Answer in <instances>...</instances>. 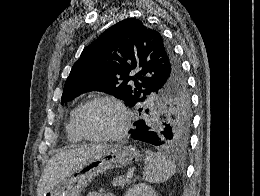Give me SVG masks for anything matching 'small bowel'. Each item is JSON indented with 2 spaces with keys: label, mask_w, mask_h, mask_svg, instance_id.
Here are the masks:
<instances>
[{
  "label": "small bowel",
  "mask_w": 260,
  "mask_h": 196,
  "mask_svg": "<svg viewBox=\"0 0 260 196\" xmlns=\"http://www.w3.org/2000/svg\"><path fill=\"white\" fill-rule=\"evenodd\" d=\"M88 196H111V194L93 191L88 193Z\"/></svg>",
  "instance_id": "obj_1"
}]
</instances>
